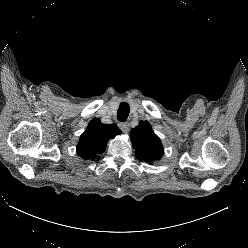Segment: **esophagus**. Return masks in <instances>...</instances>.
<instances>
[{"instance_id":"1","label":"esophagus","mask_w":248,"mask_h":248,"mask_svg":"<svg viewBox=\"0 0 248 248\" xmlns=\"http://www.w3.org/2000/svg\"><path fill=\"white\" fill-rule=\"evenodd\" d=\"M120 129L123 133H128L129 131V123H120L119 124Z\"/></svg>"}]
</instances>
